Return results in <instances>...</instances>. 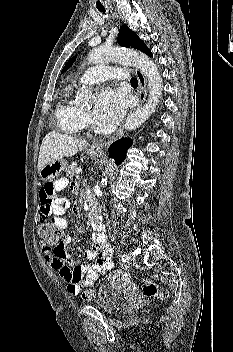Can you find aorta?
<instances>
[{
	"label": "aorta",
	"mask_w": 233,
	"mask_h": 352,
	"mask_svg": "<svg viewBox=\"0 0 233 352\" xmlns=\"http://www.w3.org/2000/svg\"><path fill=\"white\" fill-rule=\"evenodd\" d=\"M89 64H98L107 61H123L131 63L143 73L148 81L149 97L143 107L136 110L127 119L125 127L132 130L142 125L150 115L154 112L162 95L163 84L159 71L153 61L145 54L120 48L99 47L93 49L88 57ZM95 99V95L89 88L81 87L76 94V101L81 104L91 103ZM114 160H110L109 165L103 172L101 184H107V179L113 169Z\"/></svg>",
	"instance_id": "762f6f07"
}]
</instances>
